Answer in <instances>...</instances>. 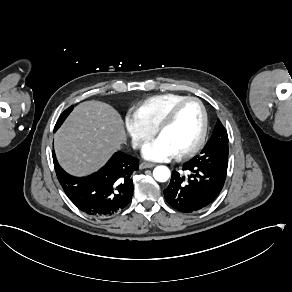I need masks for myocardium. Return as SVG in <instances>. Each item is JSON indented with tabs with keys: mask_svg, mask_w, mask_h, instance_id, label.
<instances>
[{
	"mask_svg": "<svg viewBox=\"0 0 292 292\" xmlns=\"http://www.w3.org/2000/svg\"><path fill=\"white\" fill-rule=\"evenodd\" d=\"M187 102H195L198 104L200 108V113H201V123H200V130H199L197 139L190 147L180 151L178 153L180 156H188V155L194 154L200 149V147L202 146L204 142L206 132H207V112L202 101L196 97H185L176 101L165 111V113L162 115V117L160 118L155 128L156 133L160 135L162 130L174 119L179 108Z\"/></svg>",
	"mask_w": 292,
	"mask_h": 292,
	"instance_id": "myocardium-1",
	"label": "myocardium"
}]
</instances>
